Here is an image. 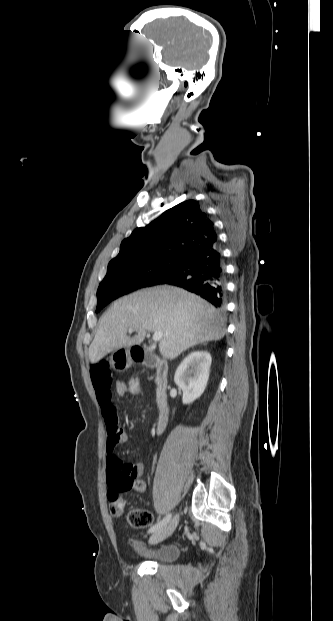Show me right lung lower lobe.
Here are the masks:
<instances>
[{
	"mask_svg": "<svg viewBox=\"0 0 333 621\" xmlns=\"http://www.w3.org/2000/svg\"><path fill=\"white\" fill-rule=\"evenodd\" d=\"M178 271L160 284L182 287L223 309L226 297L225 265L216 241L198 252L185 255Z\"/></svg>",
	"mask_w": 333,
	"mask_h": 621,
	"instance_id": "1",
	"label": "right lung lower lobe"
}]
</instances>
